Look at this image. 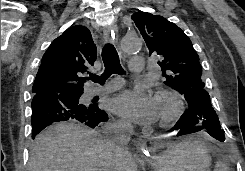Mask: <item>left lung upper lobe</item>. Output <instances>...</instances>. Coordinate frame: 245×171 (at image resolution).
Here are the masks:
<instances>
[{
    "instance_id": "obj_1",
    "label": "left lung upper lobe",
    "mask_w": 245,
    "mask_h": 171,
    "mask_svg": "<svg viewBox=\"0 0 245 171\" xmlns=\"http://www.w3.org/2000/svg\"><path fill=\"white\" fill-rule=\"evenodd\" d=\"M149 49L160 56L158 64L166 85L183 94L190 88H204L202 68L189 37L166 18L147 12L132 15Z\"/></svg>"
}]
</instances>
